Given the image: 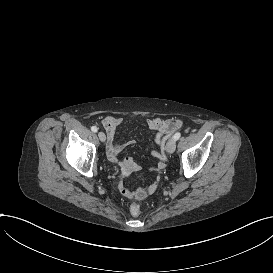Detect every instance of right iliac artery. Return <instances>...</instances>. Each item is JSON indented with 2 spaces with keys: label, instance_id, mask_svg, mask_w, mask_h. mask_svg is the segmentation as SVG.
Masks as SVG:
<instances>
[{
  "label": "right iliac artery",
  "instance_id": "1",
  "mask_svg": "<svg viewBox=\"0 0 273 273\" xmlns=\"http://www.w3.org/2000/svg\"><path fill=\"white\" fill-rule=\"evenodd\" d=\"M91 130H92L93 132H97V131H98V128H97L96 126H92V127H91Z\"/></svg>",
  "mask_w": 273,
  "mask_h": 273
}]
</instances>
